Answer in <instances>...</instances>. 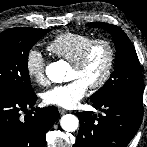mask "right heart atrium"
Returning <instances> with one entry per match:
<instances>
[{
	"label": "right heart atrium",
	"instance_id": "d8ad5b80",
	"mask_svg": "<svg viewBox=\"0 0 147 147\" xmlns=\"http://www.w3.org/2000/svg\"><path fill=\"white\" fill-rule=\"evenodd\" d=\"M25 70L28 77L39 85L47 83V76L45 72V60L42 53L32 48L25 56Z\"/></svg>",
	"mask_w": 147,
	"mask_h": 147
}]
</instances>
